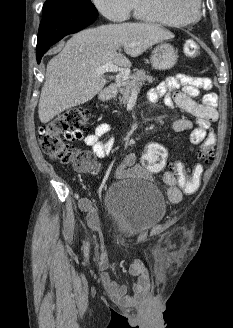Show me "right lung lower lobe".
<instances>
[{"label":"right lung lower lobe","mask_w":233,"mask_h":328,"mask_svg":"<svg viewBox=\"0 0 233 328\" xmlns=\"http://www.w3.org/2000/svg\"><path fill=\"white\" fill-rule=\"evenodd\" d=\"M97 16L98 12L90 11L43 10L36 47L37 62H40L51 45L66 35L76 33L87 27L96 20Z\"/></svg>","instance_id":"right-lung-lower-lobe-1"}]
</instances>
